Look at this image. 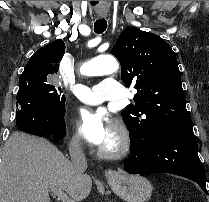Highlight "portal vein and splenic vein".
<instances>
[{"mask_svg":"<svg viewBox=\"0 0 209 202\" xmlns=\"http://www.w3.org/2000/svg\"><path fill=\"white\" fill-rule=\"evenodd\" d=\"M62 202H75L73 199L68 197L61 189L51 190Z\"/></svg>","mask_w":209,"mask_h":202,"instance_id":"1","label":"portal vein and splenic vein"}]
</instances>
